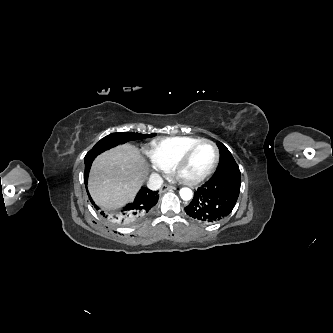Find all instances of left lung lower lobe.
<instances>
[{
    "mask_svg": "<svg viewBox=\"0 0 333 333\" xmlns=\"http://www.w3.org/2000/svg\"><path fill=\"white\" fill-rule=\"evenodd\" d=\"M241 174L238 166L216 172L194 193L186 213L202 223H214L229 215L238 199Z\"/></svg>",
    "mask_w": 333,
    "mask_h": 333,
    "instance_id": "left-lung-lower-lobe-1",
    "label": "left lung lower lobe"
}]
</instances>
